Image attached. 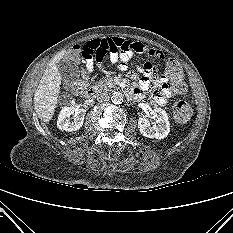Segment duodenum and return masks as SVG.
<instances>
[{
    "mask_svg": "<svg viewBox=\"0 0 233 233\" xmlns=\"http://www.w3.org/2000/svg\"><path fill=\"white\" fill-rule=\"evenodd\" d=\"M97 94H98V89L95 87H90L83 92V96L87 99H93L97 96ZM126 94L131 98H135V94L132 90H127Z\"/></svg>",
    "mask_w": 233,
    "mask_h": 233,
    "instance_id": "1",
    "label": "duodenum"
}]
</instances>
